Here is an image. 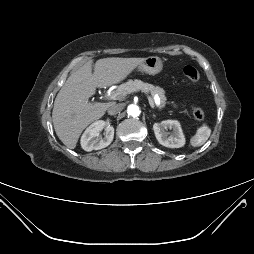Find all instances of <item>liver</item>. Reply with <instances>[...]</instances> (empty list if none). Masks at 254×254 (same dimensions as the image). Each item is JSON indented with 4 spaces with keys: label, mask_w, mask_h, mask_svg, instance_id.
<instances>
[{
    "label": "liver",
    "mask_w": 254,
    "mask_h": 254,
    "mask_svg": "<svg viewBox=\"0 0 254 254\" xmlns=\"http://www.w3.org/2000/svg\"><path fill=\"white\" fill-rule=\"evenodd\" d=\"M145 58H103L89 60L73 72L57 94L52 121L59 139L74 149L83 130L100 119L112 103L89 102L96 88H105L124 80Z\"/></svg>",
    "instance_id": "1"
}]
</instances>
